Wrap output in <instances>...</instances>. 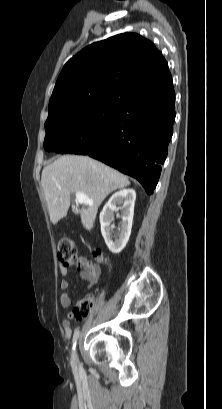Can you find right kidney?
Masks as SVG:
<instances>
[{"label":"right kidney","mask_w":222,"mask_h":409,"mask_svg":"<svg viewBox=\"0 0 222 409\" xmlns=\"http://www.w3.org/2000/svg\"><path fill=\"white\" fill-rule=\"evenodd\" d=\"M136 193L133 189H123L111 196L100 213L101 233L109 250L120 253L126 246L132 229L134 205ZM117 205H119L117 207ZM121 211L122 221L119 224L118 232L114 234L111 222L114 221V213Z\"/></svg>","instance_id":"ca27d5eb"}]
</instances>
